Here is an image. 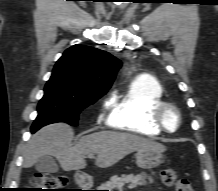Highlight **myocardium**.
<instances>
[{
	"instance_id": "1",
	"label": "myocardium",
	"mask_w": 218,
	"mask_h": 191,
	"mask_svg": "<svg viewBox=\"0 0 218 191\" xmlns=\"http://www.w3.org/2000/svg\"><path fill=\"white\" fill-rule=\"evenodd\" d=\"M169 109L174 110L176 112V115L178 118V124H177L176 128L173 130L168 129L167 126L165 125V122H164L165 112ZM152 119H153L154 124L161 131L166 132V133L177 132L180 129V127L182 125V121H183V117H182V113H181L180 109L175 104L170 103V102H162L161 104H159L153 112Z\"/></svg>"
}]
</instances>
